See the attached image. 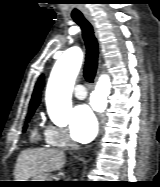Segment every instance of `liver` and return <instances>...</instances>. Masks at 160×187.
Returning a JSON list of instances; mask_svg holds the SVG:
<instances>
[{
  "label": "liver",
  "instance_id": "6515ba94",
  "mask_svg": "<svg viewBox=\"0 0 160 187\" xmlns=\"http://www.w3.org/2000/svg\"><path fill=\"white\" fill-rule=\"evenodd\" d=\"M65 164V154L58 149H27L20 153L15 166V181H28L60 170Z\"/></svg>",
  "mask_w": 160,
  "mask_h": 187
}]
</instances>
